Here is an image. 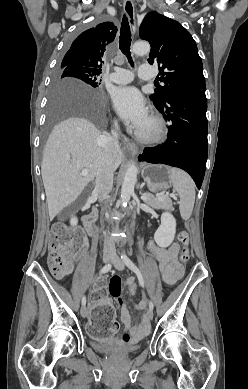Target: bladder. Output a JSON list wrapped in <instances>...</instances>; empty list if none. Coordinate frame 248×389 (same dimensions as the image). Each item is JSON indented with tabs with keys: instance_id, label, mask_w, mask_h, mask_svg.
<instances>
[{
	"instance_id": "1",
	"label": "bladder",
	"mask_w": 248,
	"mask_h": 389,
	"mask_svg": "<svg viewBox=\"0 0 248 389\" xmlns=\"http://www.w3.org/2000/svg\"><path fill=\"white\" fill-rule=\"evenodd\" d=\"M91 345L97 352L115 357L128 356L135 353L139 349L137 345H127L120 341L102 342L93 339L91 341Z\"/></svg>"
}]
</instances>
